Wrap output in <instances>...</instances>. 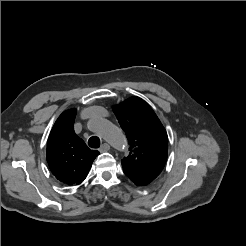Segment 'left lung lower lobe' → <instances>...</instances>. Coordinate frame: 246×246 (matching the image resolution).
Listing matches in <instances>:
<instances>
[{
  "mask_svg": "<svg viewBox=\"0 0 246 246\" xmlns=\"http://www.w3.org/2000/svg\"><path fill=\"white\" fill-rule=\"evenodd\" d=\"M127 177L130 178V180H131L133 183H135L136 185H138V186H144V185L149 184V183L146 182L145 180L140 179V178L135 177V176H132V175H128Z\"/></svg>",
  "mask_w": 246,
  "mask_h": 246,
  "instance_id": "left-lung-lower-lobe-1",
  "label": "left lung lower lobe"
}]
</instances>
